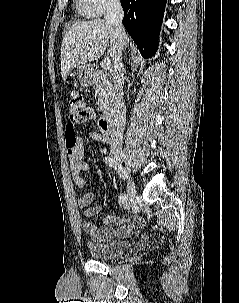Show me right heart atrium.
I'll list each match as a JSON object with an SVG mask.
<instances>
[{"label": "right heart atrium", "mask_w": 239, "mask_h": 303, "mask_svg": "<svg viewBox=\"0 0 239 303\" xmlns=\"http://www.w3.org/2000/svg\"><path fill=\"white\" fill-rule=\"evenodd\" d=\"M80 10L87 16L95 17L120 5V0H77Z\"/></svg>", "instance_id": "right-heart-atrium-1"}]
</instances>
